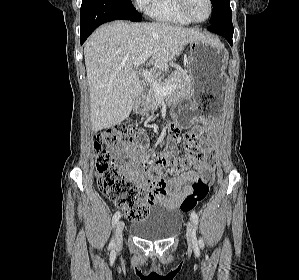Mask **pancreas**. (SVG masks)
<instances>
[{
    "instance_id": "cf45deb5",
    "label": "pancreas",
    "mask_w": 299,
    "mask_h": 280,
    "mask_svg": "<svg viewBox=\"0 0 299 280\" xmlns=\"http://www.w3.org/2000/svg\"><path fill=\"white\" fill-rule=\"evenodd\" d=\"M172 83H176L175 92L176 93H189L191 89L190 81L185 77V75L181 72H178L175 76L171 77L167 83H163L161 86H167ZM160 97L155 92V90L150 87L143 95L142 98L139 100L147 108H154L158 105Z\"/></svg>"
}]
</instances>
